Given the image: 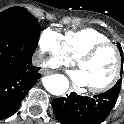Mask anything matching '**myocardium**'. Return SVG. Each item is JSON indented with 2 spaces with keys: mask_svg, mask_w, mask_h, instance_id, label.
I'll return each instance as SVG.
<instances>
[{
  "mask_svg": "<svg viewBox=\"0 0 124 124\" xmlns=\"http://www.w3.org/2000/svg\"><path fill=\"white\" fill-rule=\"evenodd\" d=\"M105 49L114 50L116 55V69L111 79L104 85L98 87H88V90L92 93H104L112 89L119 82L124 71V60L122 52L117 45L111 42L100 43L90 48L87 52H85L81 57L78 58L77 66L80 67L84 62L93 59L96 55H98L101 51Z\"/></svg>",
  "mask_w": 124,
  "mask_h": 124,
  "instance_id": "f54148a6",
  "label": "myocardium"
}]
</instances>
